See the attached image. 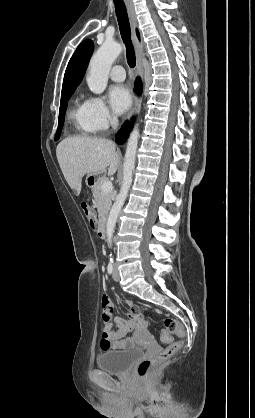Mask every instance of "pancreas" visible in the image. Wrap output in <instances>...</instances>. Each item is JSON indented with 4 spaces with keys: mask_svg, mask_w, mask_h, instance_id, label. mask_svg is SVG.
<instances>
[{
    "mask_svg": "<svg viewBox=\"0 0 255 418\" xmlns=\"http://www.w3.org/2000/svg\"><path fill=\"white\" fill-rule=\"evenodd\" d=\"M107 181V177L103 176L98 180L97 185L93 188L94 204L97 207L99 219L105 218L111 207L112 193H103L101 190L102 184Z\"/></svg>",
    "mask_w": 255,
    "mask_h": 418,
    "instance_id": "cf45deb5",
    "label": "pancreas"
}]
</instances>
